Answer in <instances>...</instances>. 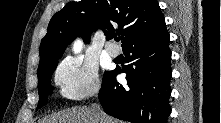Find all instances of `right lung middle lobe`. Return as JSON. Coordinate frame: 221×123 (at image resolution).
I'll use <instances>...</instances> for the list:
<instances>
[{"label":"right lung middle lobe","instance_id":"1","mask_svg":"<svg viewBox=\"0 0 221 123\" xmlns=\"http://www.w3.org/2000/svg\"><path fill=\"white\" fill-rule=\"evenodd\" d=\"M57 64H58V61L55 60V61L49 63L47 66H45L37 71L38 90H39V96H40L38 108H41L47 102L48 95L52 94V87L50 85L51 76H52V73L54 72Z\"/></svg>","mask_w":221,"mask_h":123}]
</instances>
